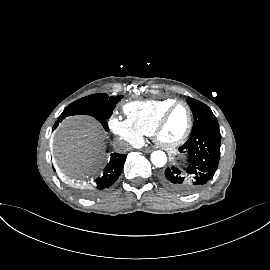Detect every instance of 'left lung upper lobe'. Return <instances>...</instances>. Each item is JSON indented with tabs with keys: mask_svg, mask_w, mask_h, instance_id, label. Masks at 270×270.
I'll return each mask as SVG.
<instances>
[{
	"mask_svg": "<svg viewBox=\"0 0 270 270\" xmlns=\"http://www.w3.org/2000/svg\"><path fill=\"white\" fill-rule=\"evenodd\" d=\"M187 102L194 116L191 134L205 127H219L216 117L207 105L191 97L187 98Z\"/></svg>",
	"mask_w": 270,
	"mask_h": 270,
	"instance_id": "1",
	"label": "left lung upper lobe"
}]
</instances>
